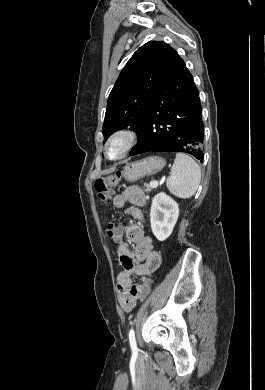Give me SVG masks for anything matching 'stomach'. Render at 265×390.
I'll return each mask as SVG.
<instances>
[{
  "mask_svg": "<svg viewBox=\"0 0 265 390\" xmlns=\"http://www.w3.org/2000/svg\"><path fill=\"white\" fill-rule=\"evenodd\" d=\"M165 164V160L161 157H147L142 160L127 164L122 171V175L125 180L134 182L140 178L153 175L161 171Z\"/></svg>",
  "mask_w": 265,
  "mask_h": 390,
  "instance_id": "obj_1",
  "label": "stomach"
}]
</instances>
